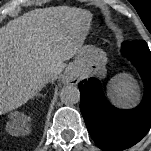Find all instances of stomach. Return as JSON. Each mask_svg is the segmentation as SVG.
<instances>
[{
    "label": "stomach",
    "mask_w": 151,
    "mask_h": 151,
    "mask_svg": "<svg viewBox=\"0 0 151 151\" xmlns=\"http://www.w3.org/2000/svg\"><path fill=\"white\" fill-rule=\"evenodd\" d=\"M106 53L97 47L87 45L77 54L73 72L79 75L93 74L99 77L106 73Z\"/></svg>",
    "instance_id": "1"
}]
</instances>
